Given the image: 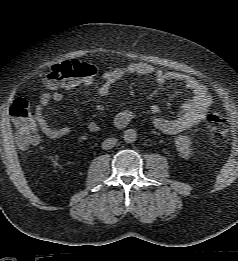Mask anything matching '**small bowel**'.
Listing matches in <instances>:
<instances>
[{"label":"small bowel","mask_w":238,"mask_h":261,"mask_svg":"<svg viewBox=\"0 0 238 261\" xmlns=\"http://www.w3.org/2000/svg\"><path fill=\"white\" fill-rule=\"evenodd\" d=\"M130 74L151 76L159 85H164L167 82H178L192 92V97L182 105L179 113L174 118L161 116L157 106L151 108L153 125L165 134H177L199 124L205 118L212 104V97L207 87L196 78L180 72L165 71L145 62H133L123 67L105 71L102 76L103 84L98 89L99 95L107 97L113 84ZM92 83L93 76L86 77L77 80L70 87L45 92L40 96L39 102L35 107V120L44 135L50 139H58L67 136L71 132L68 126H53L47 120L46 107L51 102H61L64 99L66 89L74 88L78 85L89 86ZM134 119L135 113L132 110L123 109L115 116L114 124L118 128H123L133 122ZM87 128L90 132H97L99 125L95 121H90L87 124Z\"/></svg>","instance_id":"obj_1"}]
</instances>
